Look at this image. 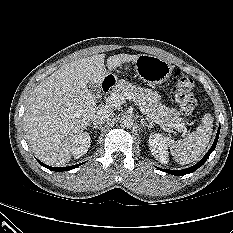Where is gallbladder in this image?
Listing matches in <instances>:
<instances>
[{
  "label": "gallbladder",
  "instance_id": "1",
  "mask_svg": "<svg viewBox=\"0 0 233 233\" xmlns=\"http://www.w3.org/2000/svg\"><path fill=\"white\" fill-rule=\"evenodd\" d=\"M88 87H89V89H90V91H91V93H92L93 95H96V94H98V93L101 92V89H100L99 85H97V84H95V83H93V82H90V83L88 84Z\"/></svg>",
  "mask_w": 233,
  "mask_h": 233
}]
</instances>
